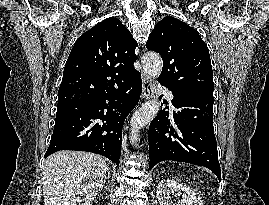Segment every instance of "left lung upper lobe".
<instances>
[{
	"instance_id": "1",
	"label": "left lung upper lobe",
	"mask_w": 269,
	"mask_h": 205,
	"mask_svg": "<svg viewBox=\"0 0 269 205\" xmlns=\"http://www.w3.org/2000/svg\"><path fill=\"white\" fill-rule=\"evenodd\" d=\"M146 47L161 55L163 69L158 81L172 93L213 97L209 50L192 27L174 17H164L152 30Z\"/></svg>"
}]
</instances>
